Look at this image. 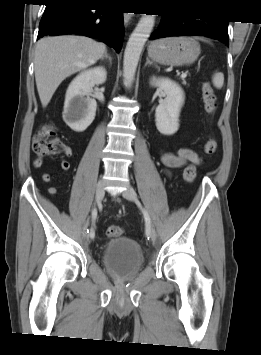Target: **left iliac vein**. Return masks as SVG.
Here are the masks:
<instances>
[{
    "mask_svg": "<svg viewBox=\"0 0 261 355\" xmlns=\"http://www.w3.org/2000/svg\"><path fill=\"white\" fill-rule=\"evenodd\" d=\"M121 194L125 199H127L129 201H136V192L130 186H128V188L126 190H124ZM151 232H152V241H155L156 240V232L153 229Z\"/></svg>",
    "mask_w": 261,
    "mask_h": 355,
    "instance_id": "obj_1",
    "label": "left iliac vein"
}]
</instances>
